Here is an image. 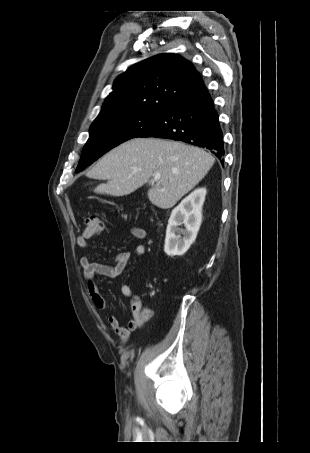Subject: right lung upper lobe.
I'll list each match as a JSON object with an SVG mask.
<instances>
[{"label":"right lung upper lobe","mask_w":310,"mask_h":453,"mask_svg":"<svg viewBox=\"0 0 310 453\" xmlns=\"http://www.w3.org/2000/svg\"><path fill=\"white\" fill-rule=\"evenodd\" d=\"M203 80L195 67L176 54H159L119 75L98 118L123 112H163Z\"/></svg>","instance_id":"right-lung-upper-lobe-1"}]
</instances>
